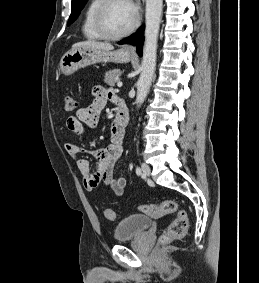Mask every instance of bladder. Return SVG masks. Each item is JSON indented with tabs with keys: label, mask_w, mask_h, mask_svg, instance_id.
Here are the masks:
<instances>
[{
	"label": "bladder",
	"mask_w": 259,
	"mask_h": 283,
	"mask_svg": "<svg viewBox=\"0 0 259 283\" xmlns=\"http://www.w3.org/2000/svg\"><path fill=\"white\" fill-rule=\"evenodd\" d=\"M152 223V219L146 215H130L115 226L114 240L120 242L135 238L149 229Z\"/></svg>",
	"instance_id": "31cf9c89"
}]
</instances>
